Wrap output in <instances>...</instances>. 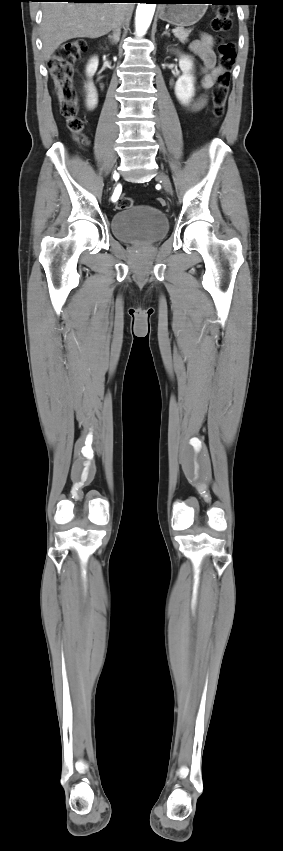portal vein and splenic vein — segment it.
<instances>
[{
    "instance_id": "portal-vein-and-splenic-vein-1",
    "label": "portal vein and splenic vein",
    "mask_w": 283,
    "mask_h": 851,
    "mask_svg": "<svg viewBox=\"0 0 283 851\" xmlns=\"http://www.w3.org/2000/svg\"><path fill=\"white\" fill-rule=\"evenodd\" d=\"M176 31H177L176 28L172 30V32H176Z\"/></svg>"
}]
</instances>
